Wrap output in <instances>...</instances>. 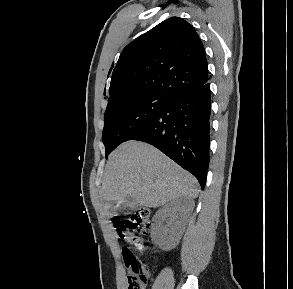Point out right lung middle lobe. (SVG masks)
Returning a JSON list of instances; mask_svg holds the SVG:
<instances>
[{
	"mask_svg": "<svg viewBox=\"0 0 293 289\" xmlns=\"http://www.w3.org/2000/svg\"><path fill=\"white\" fill-rule=\"evenodd\" d=\"M170 101L160 94H143L107 106L102 140L106 156L119 144L160 112Z\"/></svg>",
	"mask_w": 293,
	"mask_h": 289,
	"instance_id": "1",
	"label": "right lung middle lobe"
}]
</instances>
